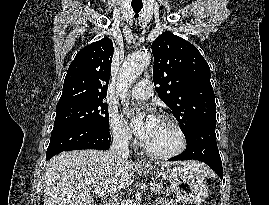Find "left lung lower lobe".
I'll list each match as a JSON object with an SVG mask.
<instances>
[{"label": "left lung lower lobe", "instance_id": "left-lung-lower-lobe-1", "mask_svg": "<svg viewBox=\"0 0 269 205\" xmlns=\"http://www.w3.org/2000/svg\"><path fill=\"white\" fill-rule=\"evenodd\" d=\"M216 122H203L196 126L188 136H186V150L170 161L199 160L210 166L222 179L223 169L219 155L216 134Z\"/></svg>", "mask_w": 269, "mask_h": 205}]
</instances>
